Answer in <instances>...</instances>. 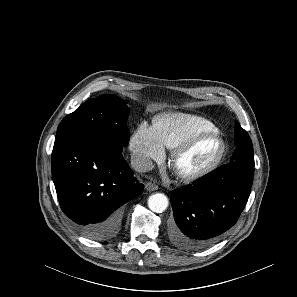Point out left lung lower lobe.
Segmentation results:
<instances>
[{"instance_id": "0a47b994", "label": "left lung lower lobe", "mask_w": 297, "mask_h": 297, "mask_svg": "<svg viewBox=\"0 0 297 297\" xmlns=\"http://www.w3.org/2000/svg\"><path fill=\"white\" fill-rule=\"evenodd\" d=\"M254 165V161L230 162L193 186L173 191L171 241L180 248L198 250L220 239L245 208Z\"/></svg>"}]
</instances>
